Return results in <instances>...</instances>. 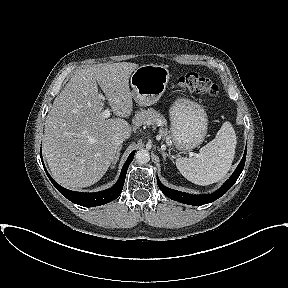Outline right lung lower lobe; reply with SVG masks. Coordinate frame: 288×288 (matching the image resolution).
I'll return each mask as SVG.
<instances>
[{
	"label": "right lung lower lobe",
	"mask_w": 288,
	"mask_h": 288,
	"mask_svg": "<svg viewBox=\"0 0 288 288\" xmlns=\"http://www.w3.org/2000/svg\"><path fill=\"white\" fill-rule=\"evenodd\" d=\"M134 154H135V151H132L128 159L126 160L125 164L123 165V168H122V171H121V174L117 183L113 187L107 190L96 192V193H81V192H75V191H71L66 188H63L50 177V175L45 169V166H44V169L50 181L53 183L56 189L63 196H65L68 200H70L71 202L75 204L84 206V207H93V206H99V205L109 203L115 200L120 195L124 186V181H125L126 173L128 170V166L132 162ZM40 157L42 159L41 153H40Z\"/></svg>",
	"instance_id": "right-lung-lower-lobe-1"
}]
</instances>
